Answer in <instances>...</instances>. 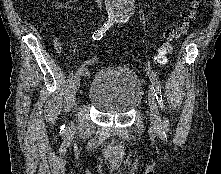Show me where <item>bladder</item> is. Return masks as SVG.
I'll use <instances>...</instances> for the list:
<instances>
[{
    "mask_svg": "<svg viewBox=\"0 0 221 174\" xmlns=\"http://www.w3.org/2000/svg\"><path fill=\"white\" fill-rule=\"evenodd\" d=\"M143 97V86L131 69L111 65L93 76L87 93L89 103L98 111L125 114L135 109Z\"/></svg>",
    "mask_w": 221,
    "mask_h": 174,
    "instance_id": "31cf9c89",
    "label": "bladder"
}]
</instances>
